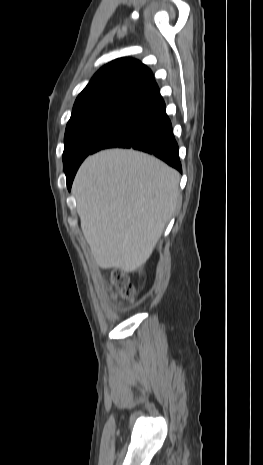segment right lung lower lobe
I'll return each instance as SVG.
<instances>
[{"instance_id": "1", "label": "right lung lower lobe", "mask_w": 263, "mask_h": 465, "mask_svg": "<svg viewBox=\"0 0 263 465\" xmlns=\"http://www.w3.org/2000/svg\"><path fill=\"white\" fill-rule=\"evenodd\" d=\"M113 147L147 152L182 171L178 145L158 88L140 98L98 141L90 154ZM77 169L66 176L69 190Z\"/></svg>"}]
</instances>
